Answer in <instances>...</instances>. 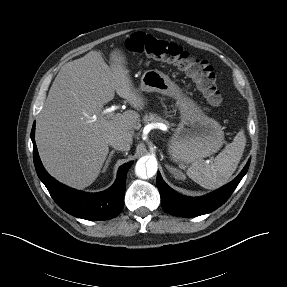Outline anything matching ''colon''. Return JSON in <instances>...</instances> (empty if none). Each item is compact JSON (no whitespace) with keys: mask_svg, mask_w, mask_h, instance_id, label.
Segmentation results:
<instances>
[{"mask_svg":"<svg viewBox=\"0 0 287 287\" xmlns=\"http://www.w3.org/2000/svg\"><path fill=\"white\" fill-rule=\"evenodd\" d=\"M126 48L131 52L177 65L195 82L210 105L221 104L222 95L218 89L216 74L207 60L192 56L176 43L143 32L133 33L126 40Z\"/></svg>","mask_w":287,"mask_h":287,"instance_id":"5ec220e1","label":"colon"}]
</instances>
